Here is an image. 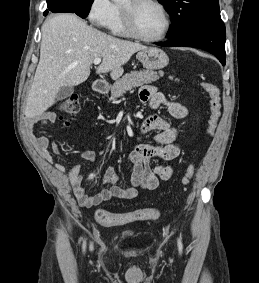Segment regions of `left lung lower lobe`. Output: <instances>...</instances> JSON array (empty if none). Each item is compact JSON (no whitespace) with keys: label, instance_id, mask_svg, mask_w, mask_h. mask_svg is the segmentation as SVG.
<instances>
[{"label":"left lung lower lobe","instance_id":"0a47b994","mask_svg":"<svg viewBox=\"0 0 259 283\" xmlns=\"http://www.w3.org/2000/svg\"><path fill=\"white\" fill-rule=\"evenodd\" d=\"M157 45L165 47L189 46L196 47L214 54L222 65H225V25L220 19L190 34L169 39Z\"/></svg>","mask_w":259,"mask_h":283}]
</instances>
